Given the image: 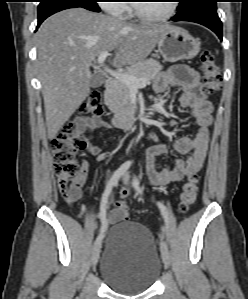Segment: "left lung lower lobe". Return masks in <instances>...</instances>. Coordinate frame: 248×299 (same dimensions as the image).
<instances>
[{
  "label": "left lung lower lobe",
  "mask_w": 248,
  "mask_h": 299,
  "mask_svg": "<svg viewBox=\"0 0 248 299\" xmlns=\"http://www.w3.org/2000/svg\"><path fill=\"white\" fill-rule=\"evenodd\" d=\"M216 7H206L192 12L189 15H185L178 11V13L171 18L172 21H190L202 24L213 32H215L220 40H222V23L218 17Z\"/></svg>",
  "instance_id": "left-lung-lower-lobe-1"
}]
</instances>
